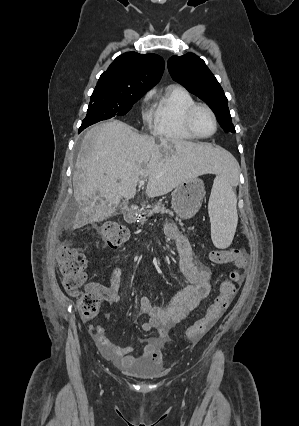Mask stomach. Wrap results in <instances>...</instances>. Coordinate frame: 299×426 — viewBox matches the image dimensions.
<instances>
[{
	"label": "stomach",
	"mask_w": 299,
	"mask_h": 426,
	"mask_svg": "<svg viewBox=\"0 0 299 426\" xmlns=\"http://www.w3.org/2000/svg\"><path fill=\"white\" fill-rule=\"evenodd\" d=\"M205 187L200 179L181 183L172 193V209L182 219L192 218L200 209Z\"/></svg>",
	"instance_id": "obj_1"
}]
</instances>
